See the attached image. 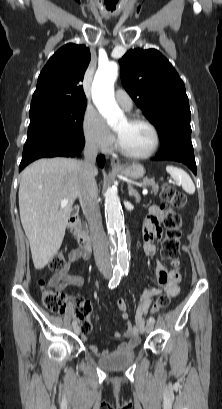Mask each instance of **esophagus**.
Here are the masks:
<instances>
[{"instance_id": "34e87169", "label": "esophagus", "mask_w": 222, "mask_h": 409, "mask_svg": "<svg viewBox=\"0 0 222 409\" xmlns=\"http://www.w3.org/2000/svg\"><path fill=\"white\" fill-rule=\"evenodd\" d=\"M111 166H112L113 168H119V167H121V162H120V160H119L118 158H116V157H112V158H111Z\"/></svg>"}]
</instances>
